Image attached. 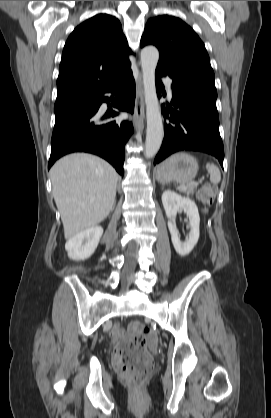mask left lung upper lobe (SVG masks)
<instances>
[{
    "label": "left lung upper lobe",
    "mask_w": 271,
    "mask_h": 418,
    "mask_svg": "<svg viewBox=\"0 0 271 418\" xmlns=\"http://www.w3.org/2000/svg\"><path fill=\"white\" fill-rule=\"evenodd\" d=\"M155 45L160 52L157 69L177 81L217 92L214 72L203 42L181 19L161 15L150 18L140 46Z\"/></svg>",
    "instance_id": "1"
}]
</instances>
